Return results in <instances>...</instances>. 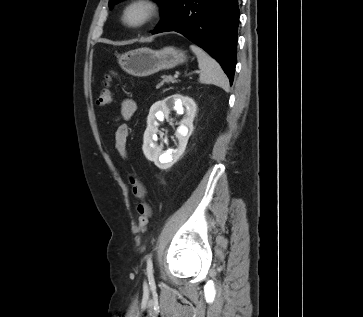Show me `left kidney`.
Segmentation results:
<instances>
[{"label": "left kidney", "instance_id": "1", "mask_svg": "<svg viewBox=\"0 0 363 317\" xmlns=\"http://www.w3.org/2000/svg\"><path fill=\"white\" fill-rule=\"evenodd\" d=\"M183 106L187 109V116L181 121L180 126L175 132L179 145L177 149H169L163 153L161 148L154 143L157 137V120L163 121L169 118L170 109H175L179 114H183ZM197 106L193 99L179 94L167 97L152 105L147 118V129L144 133L143 152L145 157L153 161L161 169L170 168L184 153L188 139L193 131V120L196 114Z\"/></svg>", "mask_w": 363, "mask_h": 317}]
</instances>
